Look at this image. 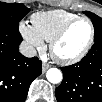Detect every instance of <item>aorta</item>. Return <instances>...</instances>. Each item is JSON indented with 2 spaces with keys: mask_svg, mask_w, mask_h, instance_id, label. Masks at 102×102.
Returning <instances> with one entry per match:
<instances>
[{
  "mask_svg": "<svg viewBox=\"0 0 102 102\" xmlns=\"http://www.w3.org/2000/svg\"><path fill=\"white\" fill-rule=\"evenodd\" d=\"M47 80L50 83L57 84L62 81V72L57 68H50L46 73Z\"/></svg>",
  "mask_w": 102,
  "mask_h": 102,
  "instance_id": "obj_1",
  "label": "aorta"
}]
</instances>
